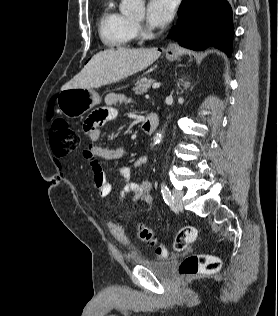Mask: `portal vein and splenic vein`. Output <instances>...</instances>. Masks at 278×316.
<instances>
[{
	"label": "portal vein and splenic vein",
	"mask_w": 278,
	"mask_h": 316,
	"mask_svg": "<svg viewBox=\"0 0 278 316\" xmlns=\"http://www.w3.org/2000/svg\"><path fill=\"white\" fill-rule=\"evenodd\" d=\"M160 83H154L153 85H152V87H153V89H157V88H159L160 87Z\"/></svg>",
	"instance_id": "obj_1"
}]
</instances>
